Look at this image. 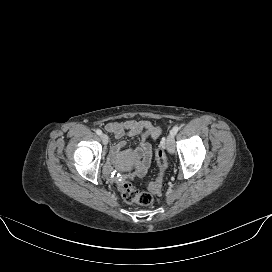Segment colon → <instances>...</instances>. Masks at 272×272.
<instances>
[{
    "label": "colon",
    "mask_w": 272,
    "mask_h": 272,
    "mask_svg": "<svg viewBox=\"0 0 272 272\" xmlns=\"http://www.w3.org/2000/svg\"><path fill=\"white\" fill-rule=\"evenodd\" d=\"M156 162L158 165L159 173L155 181L149 184L148 189L150 192H139L128 181H121L118 184L119 191L122 198L127 203H136L140 205H150L153 202L152 193H157L161 190L163 177L168 167L167 157L162 147L156 150ZM152 192V193H151Z\"/></svg>",
    "instance_id": "obj_1"
}]
</instances>
